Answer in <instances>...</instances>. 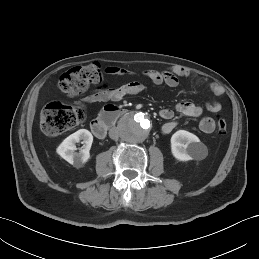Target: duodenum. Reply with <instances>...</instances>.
<instances>
[{
  "instance_id": "obj_1",
  "label": "duodenum",
  "mask_w": 259,
  "mask_h": 259,
  "mask_svg": "<svg viewBox=\"0 0 259 259\" xmlns=\"http://www.w3.org/2000/svg\"><path fill=\"white\" fill-rule=\"evenodd\" d=\"M126 110L115 105H106L97 118L91 122V131L97 138H104L114 121L125 115Z\"/></svg>"
}]
</instances>
